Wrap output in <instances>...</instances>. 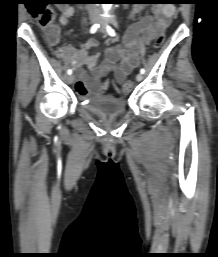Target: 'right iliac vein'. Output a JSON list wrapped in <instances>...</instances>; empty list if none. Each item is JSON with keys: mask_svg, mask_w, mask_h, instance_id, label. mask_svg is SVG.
<instances>
[{"mask_svg": "<svg viewBox=\"0 0 218 257\" xmlns=\"http://www.w3.org/2000/svg\"><path fill=\"white\" fill-rule=\"evenodd\" d=\"M96 17H90V22L91 23H95L96 22ZM67 82L69 84H72L74 82V76L73 75H69L68 78H67Z\"/></svg>", "mask_w": 218, "mask_h": 257, "instance_id": "63e3f726", "label": "right iliac vein"}]
</instances>
